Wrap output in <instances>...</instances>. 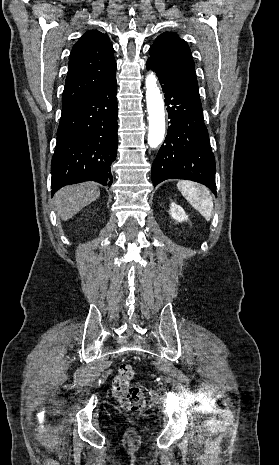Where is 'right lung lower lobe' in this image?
Here are the masks:
<instances>
[{
	"mask_svg": "<svg viewBox=\"0 0 279 465\" xmlns=\"http://www.w3.org/2000/svg\"><path fill=\"white\" fill-rule=\"evenodd\" d=\"M117 82L113 76L89 98L61 114L52 158V195L61 187L84 181L112 183L116 159Z\"/></svg>",
	"mask_w": 279,
	"mask_h": 465,
	"instance_id": "right-lung-lower-lobe-1",
	"label": "right lung lower lobe"
}]
</instances>
